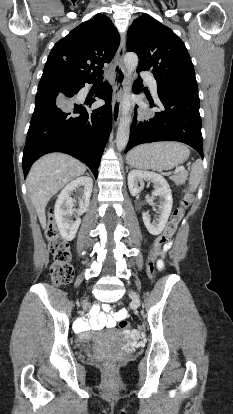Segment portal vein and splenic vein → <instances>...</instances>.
<instances>
[{
    "mask_svg": "<svg viewBox=\"0 0 233 414\" xmlns=\"http://www.w3.org/2000/svg\"><path fill=\"white\" fill-rule=\"evenodd\" d=\"M177 172H183L184 171V167H180L178 169H176Z\"/></svg>",
    "mask_w": 233,
    "mask_h": 414,
    "instance_id": "obj_1",
    "label": "portal vein and splenic vein"
}]
</instances>
